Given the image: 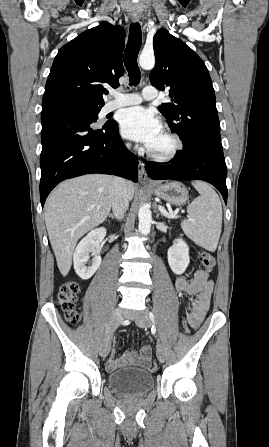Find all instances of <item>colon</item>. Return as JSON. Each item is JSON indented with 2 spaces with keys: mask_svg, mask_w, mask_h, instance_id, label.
<instances>
[{
  "mask_svg": "<svg viewBox=\"0 0 269 447\" xmlns=\"http://www.w3.org/2000/svg\"><path fill=\"white\" fill-rule=\"evenodd\" d=\"M199 261L202 268L206 271L211 272L215 267V258L208 251H201L199 253ZM79 292L80 285L76 282H69L61 286L57 292V301L60 309L65 314L68 322L74 326L79 325L82 320L76 304V296ZM181 318L180 326L184 328L185 334L192 335L193 331L189 329L188 319L184 315ZM142 354L146 356L151 355V349L149 347L143 348ZM144 369L149 372H155L157 370V364L151 361L146 362Z\"/></svg>",
  "mask_w": 269,
  "mask_h": 447,
  "instance_id": "5ec220e1",
  "label": "colon"
}]
</instances>
